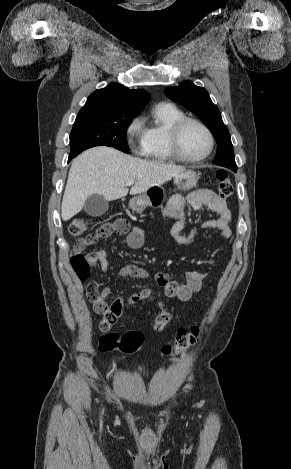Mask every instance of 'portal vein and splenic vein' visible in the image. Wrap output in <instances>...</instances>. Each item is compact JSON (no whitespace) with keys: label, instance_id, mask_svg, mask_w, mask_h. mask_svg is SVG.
<instances>
[{"label":"portal vein and splenic vein","instance_id":"1","mask_svg":"<svg viewBox=\"0 0 291 469\" xmlns=\"http://www.w3.org/2000/svg\"><path fill=\"white\" fill-rule=\"evenodd\" d=\"M132 184H134V181H133V180H130V181H127V182H126V186H131Z\"/></svg>","mask_w":291,"mask_h":469}]
</instances>
